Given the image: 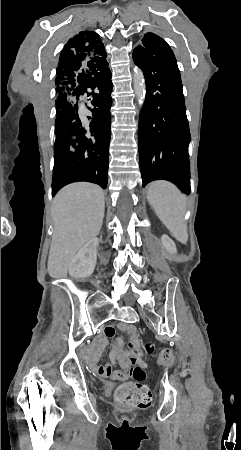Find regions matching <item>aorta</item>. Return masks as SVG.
Masks as SVG:
<instances>
[{
    "mask_svg": "<svg viewBox=\"0 0 241 450\" xmlns=\"http://www.w3.org/2000/svg\"><path fill=\"white\" fill-rule=\"evenodd\" d=\"M134 91L141 106L145 100L146 83L143 72L137 68L134 71Z\"/></svg>",
    "mask_w": 241,
    "mask_h": 450,
    "instance_id": "aorta-1",
    "label": "aorta"
}]
</instances>
